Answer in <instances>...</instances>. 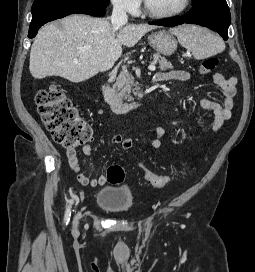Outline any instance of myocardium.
Instances as JSON below:
<instances>
[{
    "label": "myocardium",
    "instance_id": "1",
    "mask_svg": "<svg viewBox=\"0 0 255 272\" xmlns=\"http://www.w3.org/2000/svg\"><path fill=\"white\" fill-rule=\"evenodd\" d=\"M190 4H191V0H184L183 5L176 10L169 11V12L157 13V12L152 11L148 7L146 0H144V13L146 15H148L149 17L156 18V19L172 18V17L178 16V15L182 14L183 12H185L188 9V7L190 6Z\"/></svg>",
    "mask_w": 255,
    "mask_h": 272
}]
</instances>
